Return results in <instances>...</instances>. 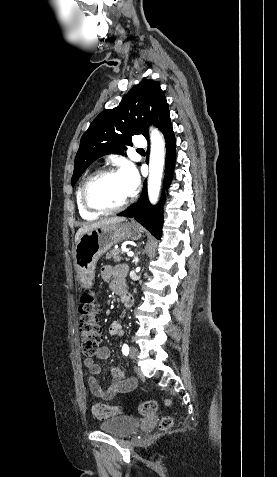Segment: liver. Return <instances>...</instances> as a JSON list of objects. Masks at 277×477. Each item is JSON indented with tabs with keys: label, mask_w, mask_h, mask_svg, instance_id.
<instances>
[{
	"label": "liver",
	"mask_w": 277,
	"mask_h": 477,
	"mask_svg": "<svg viewBox=\"0 0 277 477\" xmlns=\"http://www.w3.org/2000/svg\"><path fill=\"white\" fill-rule=\"evenodd\" d=\"M123 221H125L124 217H112V218H105L100 221L84 225L81 228H79V230L77 231L75 235V242L77 243L83 234L90 232L91 230L95 228L108 225V224L121 223Z\"/></svg>",
	"instance_id": "obj_1"
}]
</instances>
